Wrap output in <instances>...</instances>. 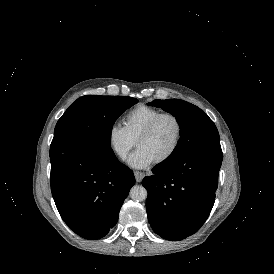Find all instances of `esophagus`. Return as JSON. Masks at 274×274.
Instances as JSON below:
<instances>
[{
    "instance_id": "esophagus-1",
    "label": "esophagus",
    "mask_w": 274,
    "mask_h": 274,
    "mask_svg": "<svg viewBox=\"0 0 274 274\" xmlns=\"http://www.w3.org/2000/svg\"><path fill=\"white\" fill-rule=\"evenodd\" d=\"M134 174L137 182H141V180L145 176V173L141 171H135Z\"/></svg>"
}]
</instances>
